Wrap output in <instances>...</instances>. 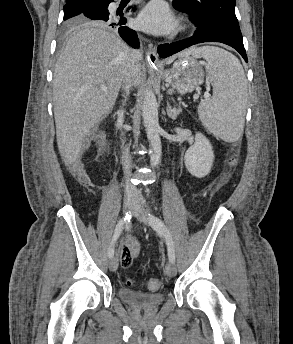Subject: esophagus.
Returning <instances> with one entry per match:
<instances>
[{
  "mask_svg": "<svg viewBox=\"0 0 293 344\" xmlns=\"http://www.w3.org/2000/svg\"><path fill=\"white\" fill-rule=\"evenodd\" d=\"M146 58H147V63L148 65H150L151 67H160L161 64L159 62V58H158V55L156 53V50L153 46H149V49L147 51V55H146Z\"/></svg>",
  "mask_w": 293,
  "mask_h": 344,
  "instance_id": "1",
  "label": "esophagus"
}]
</instances>
